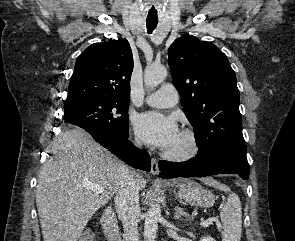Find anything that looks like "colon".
<instances>
[{"instance_id":"5ec220e1","label":"colon","mask_w":295,"mask_h":241,"mask_svg":"<svg viewBox=\"0 0 295 241\" xmlns=\"http://www.w3.org/2000/svg\"><path fill=\"white\" fill-rule=\"evenodd\" d=\"M82 241H91V238L89 236H86Z\"/></svg>"}]
</instances>
